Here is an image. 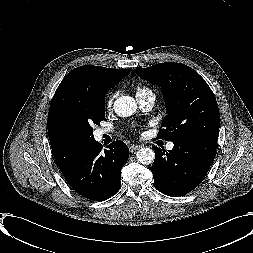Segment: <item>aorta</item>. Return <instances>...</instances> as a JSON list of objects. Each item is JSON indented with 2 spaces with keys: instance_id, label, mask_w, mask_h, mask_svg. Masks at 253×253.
<instances>
[{
  "instance_id": "aorta-1",
  "label": "aorta",
  "mask_w": 253,
  "mask_h": 253,
  "mask_svg": "<svg viewBox=\"0 0 253 253\" xmlns=\"http://www.w3.org/2000/svg\"><path fill=\"white\" fill-rule=\"evenodd\" d=\"M136 109V100L130 96H121L114 103V110L120 117L131 116L136 112ZM136 156L138 161L144 165L153 163L155 159V153L153 149L148 147L139 149Z\"/></svg>"
}]
</instances>
